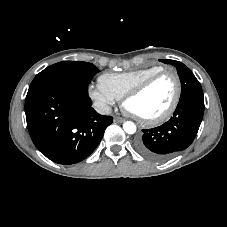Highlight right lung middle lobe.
I'll return each mask as SVG.
<instances>
[{"instance_id": "obj_1", "label": "right lung middle lobe", "mask_w": 227, "mask_h": 227, "mask_svg": "<svg viewBox=\"0 0 227 227\" xmlns=\"http://www.w3.org/2000/svg\"><path fill=\"white\" fill-rule=\"evenodd\" d=\"M99 70L82 61H62L53 64L35 76L28 92L44 86H63L86 93V89Z\"/></svg>"}]
</instances>
